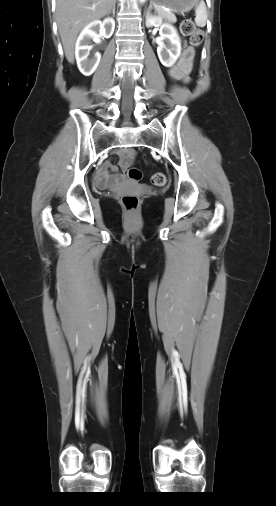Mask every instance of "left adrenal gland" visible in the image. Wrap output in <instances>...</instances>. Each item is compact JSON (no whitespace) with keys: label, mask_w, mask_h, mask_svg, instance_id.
<instances>
[{"label":"left adrenal gland","mask_w":276,"mask_h":506,"mask_svg":"<svg viewBox=\"0 0 276 506\" xmlns=\"http://www.w3.org/2000/svg\"><path fill=\"white\" fill-rule=\"evenodd\" d=\"M149 9H150V10L152 9V4H150Z\"/></svg>","instance_id":"1"}]
</instances>
